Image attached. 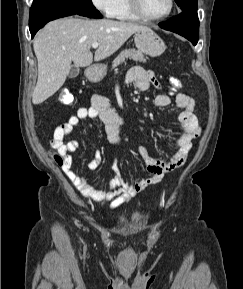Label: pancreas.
Returning a JSON list of instances; mask_svg holds the SVG:
<instances>
[{
	"mask_svg": "<svg viewBox=\"0 0 243 289\" xmlns=\"http://www.w3.org/2000/svg\"><path fill=\"white\" fill-rule=\"evenodd\" d=\"M128 58L143 63H145L147 60V57H145L141 51L136 49H125L114 59L112 63V69L117 68L125 61V59Z\"/></svg>",
	"mask_w": 243,
	"mask_h": 289,
	"instance_id": "pancreas-1",
	"label": "pancreas"
}]
</instances>
